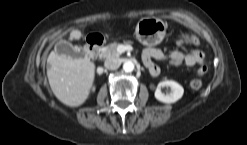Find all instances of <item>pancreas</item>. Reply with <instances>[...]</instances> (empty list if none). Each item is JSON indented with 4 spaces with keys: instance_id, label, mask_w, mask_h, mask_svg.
Returning <instances> with one entry per match:
<instances>
[{
    "instance_id": "cf45deb5",
    "label": "pancreas",
    "mask_w": 247,
    "mask_h": 145,
    "mask_svg": "<svg viewBox=\"0 0 247 145\" xmlns=\"http://www.w3.org/2000/svg\"><path fill=\"white\" fill-rule=\"evenodd\" d=\"M119 44L112 43L103 47L100 51V57L102 58H118L121 54L117 51Z\"/></svg>"
}]
</instances>
